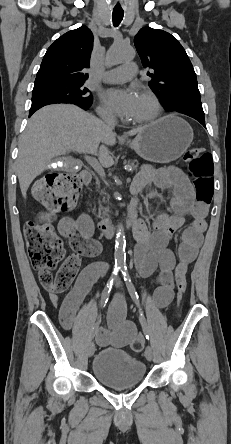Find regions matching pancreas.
I'll use <instances>...</instances> for the list:
<instances>
[{"label": "pancreas", "instance_id": "obj_1", "mask_svg": "<svg viewBox=\"0 0 231 444\" xmlns=\"http://www.w3.org/2000/svg\"><path fill=\"white\" fill-rule=\"evenodd\" d=\"M126 166L131 169H137L139 167V163L137 160L128 161V164ZM103 194H104V192H101V195H103Z\"/></svg>", "mask_w": 231, "mask_h": 444}]
</instances>
